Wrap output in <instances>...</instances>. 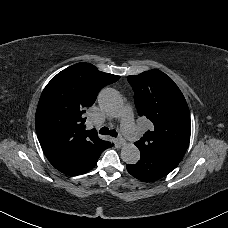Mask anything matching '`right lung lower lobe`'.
Wrapping results in <instances>:
<instances>
[{
    "mask_svg": "<svg viewBox=\"0 0 228 228\" xmlns=\"http://www.w3.org/2000/svg\"><path fill=\"white\" fill-rule=\"evenodd\" d=\"M112 146V143L104 141L103 145L95 148H89L80 152L71 160L56 167V169H58L60 172L66 175L73 176L83 174L92 169L96 165L98 158L105 149L110 148Z\"/></svg>",
    "mask_w": 228,
    "mask_h": 228,
    "instance_id": "right-lung-lower-lobe-1",
    "label": "right lung lower lobe"
}]
</instances>
